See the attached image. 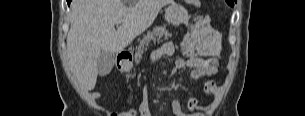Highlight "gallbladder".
Wrapping results in <instances>:
<instances>
[{"label": "gallbladder", "instance_id": "gallbladder-1", "mask_svg": "<svg viewBox=\"0 0 305 116\" xmlns=\"http://www.w3.org/2000/svg\"><path fill=\"white\" fill-rule=\"evenodd\" d=\"M114 62L115 55L113 53L102 51L97 60L98 73L101 76L108 75L114 66Z\"/></svg>", "mask_w": 305, "mask_h": 116}]
</instances>
